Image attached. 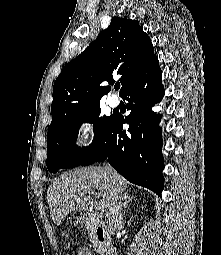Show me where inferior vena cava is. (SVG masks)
Listing matches in <instances>:
<instances>
[{
    "label": "inferior vena cava",
    "instance_id": "obj_1",
    "mask_svg": "<svg viewBox=\"0 0 221 255\" xmlns=\"http://www.w3.org/2000/svg\"><path fill=\"white\" fill-rule=\"evenodd\" d=\"M104 168L108 173L112 170L109 164H105ZM122 200V191L117 188L106 211V225L111 234H114L115 230L122 224Z\"/></svg>",
    "mask_w": 221,
    "mask_h": 255
}]
</instances>
